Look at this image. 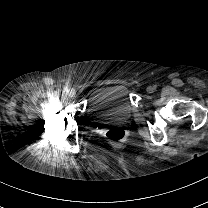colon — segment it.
Wrapping results in <instances>:
<instances>
[{
	"label": "colon",
	"mask_w": 208,
	"mask_h": 208,
	"mask_svg": "<svg viewBox=\"0 0 208 208\" xmlns=\"http://www.w3.org/2000/svg\"><path fill=\"white\" fill-rule=\"evenodd\" d=\"M105 136L108 141L118 143L125 137V130L122 128H113L110 129Z\"/></svg>",
	"instance_id": "1"
}]
</instances>
